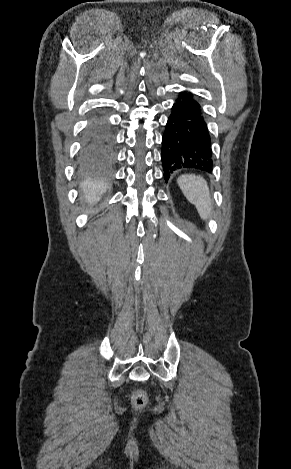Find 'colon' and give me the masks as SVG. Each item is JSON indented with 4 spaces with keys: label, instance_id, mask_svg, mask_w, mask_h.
Wrapping results in <instances>:
<instances>
[{
    "label": "colon",
    "instance_id": "obj_1",
    "mask_svg": "<svg viewBox=\"0 0 291 469\" xmlns=\"http://www.w3.org/2000/svg\"><path fill=\"white\" fill-rule=\"evenodd\" d=\"M133 404L136 407H142L146 404L147 398L142 391H137L133 394Z\"/></svg>",
    "mask_w": 291,
    "mask_h": 469
}]
</instances>
